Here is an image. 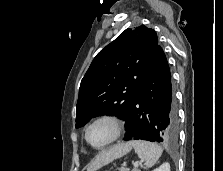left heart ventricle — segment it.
Wrapping results in <instances>:
<instances>
[{
    "label": "left heart ventricle",
    "instance_id": "obj_1",
    "mask_svg": "<svg viewBox=\"0 0 223 171\" xmlns=\"http://www.w3.org/2000/svg\"><path fill=\"white\" fill-rule=\"evenodd\" d=\"M114 134V127L107 121L98 122L93 125L88 132L89 141L100 146L106 143Z\"/></svg>",
    "mask_w": 223,
    "mask_h": 171
}]
</instances>
